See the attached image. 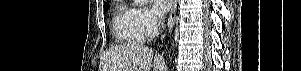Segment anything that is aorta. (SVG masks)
Listing matches in <instances>:
<instances>
[{
	"label": "aorta",
	"mask_w": 301,
	"mask_h": 71,
	"mask_svg": "<svg viewBox=\"0 0 301 71\" xmlns=\"http://www.w3.org/2000/svg\"><path fill=\"white\" fill-rule=\"evenodd\" d=\"M147 0H134L135 4H144Z\"/></svg>",
	"instance_id": "1"
}]
</instances>
